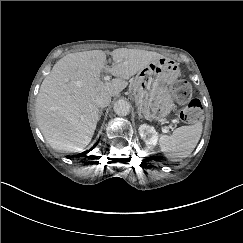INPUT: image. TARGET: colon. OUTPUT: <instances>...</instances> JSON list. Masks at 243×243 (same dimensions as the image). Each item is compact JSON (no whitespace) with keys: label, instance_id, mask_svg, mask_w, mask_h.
<instances>
[{"label":"colon","instance_id":"obj_1","mask_svg":"<svg viewBox=\"0 0 243 243\" xmlns=\"http://www.w3.org/2000/svg\"><path fill=\"white\" fill-rule=\"evenodd\" d=\"M174 98L185 104L180 113L184 123H195L202 117V107L197 99H192V87L187 81H178L172 88Z\"/></svg>","mask_w":243,"mask_h":243}]
</instances>
